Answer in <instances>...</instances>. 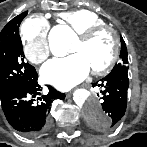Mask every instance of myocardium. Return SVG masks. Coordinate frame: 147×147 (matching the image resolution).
Listing matches in <instances>:
<instances>
[{
	"mask_svg": "<svg viewBox=\"0 0 147 147\" xmlns=\"http://www.w3.org/2000/svg\"><path fill=\"white\" fill-rule=\"evenodd\" d=\"M108 33L112 37V53L109 60L100 68L92 69V74L100 76L109 73L116 65L120 55V41L117 32L110 26L101 25L78 34L77 40L82 44L91 43L98 35Z\"/></svg>",
	"mask_w": 147,
	"mask_h": 147,
	"instance_id": "obj_1",
	"label": "myocardium"
}]
</instances>
